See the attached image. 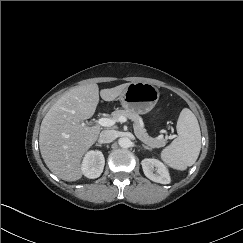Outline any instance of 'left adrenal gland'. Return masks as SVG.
<instances>
[{
  "instance_id": "left-adrenal-gland-1",
  "label": "left adrenal gland",
  "mask_w": 243,
  "mask_h": 243,
  "mask_svg": "<svg viewBox=\"0 0 243 243\" xmlns=\"http://www.w3.org/2000/svg\"><path fill=\"white\" fill-rule=\"evenodd\" d=\"M145 149H147V150H150V148L149 147H147V146H145V145H142Z\"/></svg>"
}]
</instances>
